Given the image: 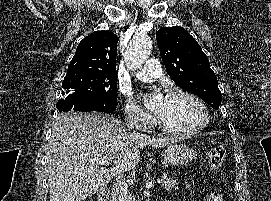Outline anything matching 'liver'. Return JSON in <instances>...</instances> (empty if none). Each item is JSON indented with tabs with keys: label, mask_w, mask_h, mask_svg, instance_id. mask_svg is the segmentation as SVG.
I'll use <instances>...</instances> for the list:
<instances>
[{
	"label": "liver",
	"mask_w": 271,
	"mask_h": 201,
	"mask_svg": "<svg viewBox=\"0 0 271 201\" xmlns=\"http://www.w3.org/2000/svg\"><path fill=\"white\" fill-rule=\"evenodd\" d=\"M173 138L134 133L112 115L68 112L58 115L47 145L50 201H82L104 190L112 178L133 169L139 148L164 147ZM110 161V167L93 162Z\"/></svg>",
	"instance_id": "obj_1"
}]
</instances>
